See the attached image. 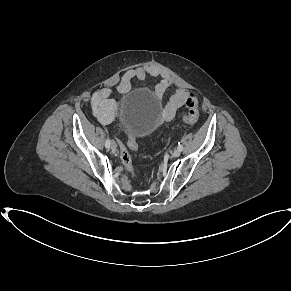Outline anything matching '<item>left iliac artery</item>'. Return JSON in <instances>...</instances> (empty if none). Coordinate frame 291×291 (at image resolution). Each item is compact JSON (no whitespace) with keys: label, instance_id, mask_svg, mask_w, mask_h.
Returning a JSON list of instances; mask_svg holds the SVG:
<instances>
[{"label":"left iliac artery","instance_id":"1","mask_svg":"<svg viewBox=\"0 0 291 291\" xmlns=\"http://www.w3.org/2000/svg\"><path fill=\"white\" fill-rule=\"evenodd\" d=\"M178 149H179L180 151L183 150V146H182V144H181L180 142L178 143Z\"/></svg>","mask_w":291,"mask_h":291}]
</instances>
